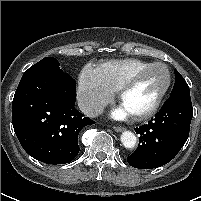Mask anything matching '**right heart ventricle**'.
<instances>
[{
	"instance_id": "right-heart-ventricle-1",
	"label": "right heart ventricle",
	"mask_w": 201,
	"mask_h": 201,
	"mask_svg": "<svg viewBox=\"0 0 201 201\" xmlns=\"http://www.w3.org/2000/svg\"><path fill=\"white\" fill-rule=\"evenodd\" d=\"M150 64L139 59L127 58L104 62L97 69L106 85L117 92L129 77Z\"/></svg>"
}]
</instances>
